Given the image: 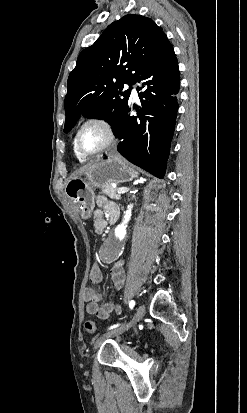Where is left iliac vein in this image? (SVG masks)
Wrapping results in <instances>:
<instances>
[{"label": "left iliac vein", "instance_id": "4c4485c4", "mask_svg": "<svg viewBox=\"0 0 247 413\" xmlns=\"http://www.w3.org/2000/svg\"><path fill=\"white\" fill-rule=\"evenodd\" d=\"M145 313V306L144 305H140L136 314L134 315L133 319L128 322L126 325H123L117 329L111 330L103 335H101L100 337H98L93 344V350L97 351L98 348L100 347V345L107 339L111 338V337H115L118 336L122 333H124L126 330H128L130 327L134 326L139 320H141L144 316Z\"/></svg>", "mask_w": 247, "mask_h": 413}]
</instances>
